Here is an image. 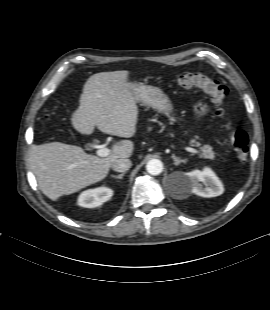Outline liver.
<instances>
[{
	"label": "liver",
	"instance_id": "obj_1",
	"mask_svg": "<svg viewBox=\"0 0 270 310\" xmlns=\"http://www.w3.org/2000/svg\"><path fill=\"white\" fill-rule=\"evenodd\" d=\"M128 71L96 73L88 78L80 105L71 116L72 126L83 135L102 132L131 138L136 133L138 106L128 82ZM134 143L121 140L105 158L87 154L81 147L49 142L34 145L30 165L39 188L52 201L103 180L112 164L132 156Z\"/></svg>",
	"mask_w": 270,
	"mask_h": 310
}]
</instances>
